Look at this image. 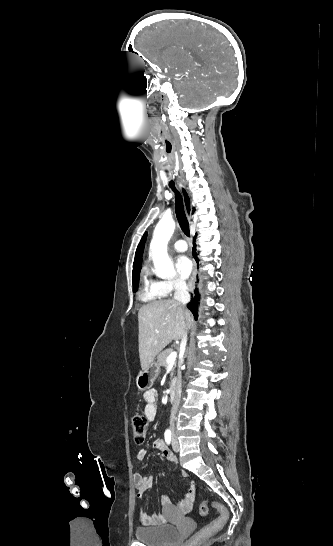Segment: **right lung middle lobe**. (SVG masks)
I'll use <instances>...</instances> for the list:
<instances>
[{
	"instance_id": "right-lung-middle-lobe-1",
	"label": "right lung middle lobe",
	"mask_w": 333,
	"mask_h": 546,
	"mask_svg": "<svg viewBox=\"0 0 333 546\" xmlns=\"http://www.w3.org/2000/svg\"><path fill=\"white\" fill-rule=\"evenodd\" d=\"M138 266L136 264L133 265V278L135 279V282L133 283V291L136 292L138 285H139V279H138Z\"/></svg>"
}]
</instances>
